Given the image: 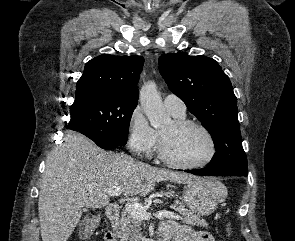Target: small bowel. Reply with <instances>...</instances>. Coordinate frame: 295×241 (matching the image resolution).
<instances>
[{
  "label": "small bowel",
  "mask_w": 295,
  "mask_h": 241,
  "mask_svg": "<svg viewBox=\"0 0 295 241\" xmlns=\"http://www.w3.org/2000/svg\"><path fill=\"white\" fill-rule=\"evenodd\" d=\"M160 234H164L172 241H213L211 236L202 231H196L188 225L178 224L174 221H167L160 227ZM105 241H116L112 233L105 235Z\"/></svg>",
  "instance_id": "1"
}]
</instances>
